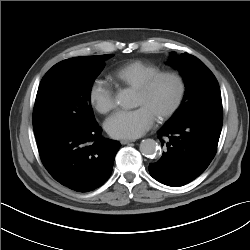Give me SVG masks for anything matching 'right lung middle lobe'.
Returning <instances> with one entry per match:
<instances>
[{"label":"right lung middle lobe","instance_id":"obj_1","mask_svg":"<svg viewBox=\"0 0 250 250\" xmlns=\"http://www.w3.org/2000/svg\"><path fill=\"white\" fill-rule=\"evenodd\" d=\"M111 54L85 62L52 67L43 77L35 100V137L61 131H80L97 124L90 104L91 87Z\"/></svg>","mask_w":250,"mask_h":250}]
</instances>
